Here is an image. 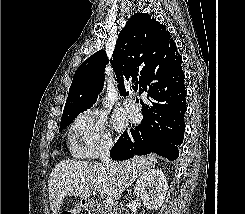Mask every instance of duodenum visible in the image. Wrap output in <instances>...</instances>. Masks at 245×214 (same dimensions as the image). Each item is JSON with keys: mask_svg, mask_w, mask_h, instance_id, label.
<instances>
[{"mask_svg": "<svg viewBox=\"0 0 245 214\" xmlns=\"http://www.w3.org/2000/svg\"><path fill=\"white\" fill-rule=\"evenodd\" d=\"M85 208L90 214H98L99 213V206L98 203L95 200L87 199L84 202ZM112 214H129L125 209L118 207V206H112L111 207Z\"/></svg>", "mask_w": 245, "mask_h": 214, "instance_id": "1", "label": "duodenum"}]
</instances>
